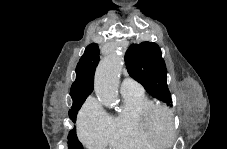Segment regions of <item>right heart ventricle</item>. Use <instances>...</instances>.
I'll return each mask as SVG.
<instances>
[{"mask_svg": "<svg viewBox=\"0 0 227 149\" xmlns=\"http://www.w3.org/2000/svg\"><path fill=\"white\" fill-rule=\"evenodd\" d=\"M122 108L109 117L108 144L118 149H154L144 136L139 122L140 113L153 104L144 91L122 93Z\"/></svg>", "mask_w": 227, "mask_h": 149, "instance_id": "1", "label": "right heart ventricle"}]
</instances>
